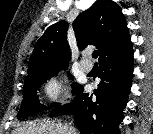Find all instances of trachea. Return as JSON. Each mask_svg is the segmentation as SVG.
<instances>
[{
    "mask_svg": "<svg viewBox=\"0 0 153 134\" xmlns=\"http://www.w3.org/2000/svg\"><path fill=\"white\" fill-rule=\"evenodd\" d=\"M98 55H99L98 50L93 51V53H92V57H93V58L96 59V58L98 57Z\"/></svg>",
    "mask_w": 153,
    "mask_h": 134,
    "instance_id": "trachea-1",
    "label": "trachea"
}]
</instances>
